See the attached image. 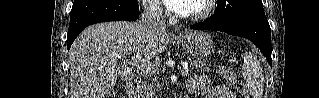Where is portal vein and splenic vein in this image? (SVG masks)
I'll return each mask as SVG.
<instances>
[{
  "label": "portal vein and splenic vein",
  "instance_id": "obj_1",
  "mask_svg": "<svg viewBox=\"0 0 319 98\" xmlns=\"http://www.w3.org/2000/svg\"><path fill=\"white\" fill-rule=\"evenodd\" d=\"M131 64L147 72L154 73L156 71V68L149 61L142 58L139 54H133ZM188 73V66H183V69L181 70L182 76H187Z\"/></svg>",
  "mask_w": 319,
  "mask_h": 98
}]
</instances>
